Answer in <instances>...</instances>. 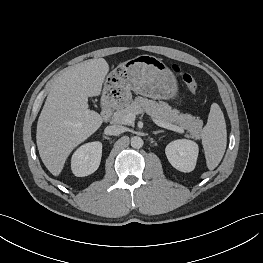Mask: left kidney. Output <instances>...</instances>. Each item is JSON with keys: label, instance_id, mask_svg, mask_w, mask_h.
Returning <instances> with one entry per match:
<instances>
[{"label": "left kidney", "instance_id": "left-kidney-1", "mask_svg": "<svg viewBox=\"0 0 263 263\" xmlns=\"http://www.w3.org/2000/svg\"><path fill=\"white\" fill-rule=\"evenodd\" d=\"M165 153L170 164L181 172H191L194 170L199 148L196 142L179 139L170 142Z\"/></svg>", "mask_w": 263, "mask_h": 263}]
</instances>
